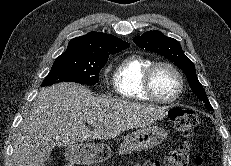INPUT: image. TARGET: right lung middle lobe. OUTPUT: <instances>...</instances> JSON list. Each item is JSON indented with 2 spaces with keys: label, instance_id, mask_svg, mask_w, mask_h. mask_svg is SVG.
Instances as JSON below:
<instances>
[{
  "label": "right lung middle lobe",
  "instance_id": "obj_1",
  "mask_svg": "<svg viewBox=\"0 0 231 166\" xmlns=\"http://www.w3.org/2000/svg\"><path fill=\"white\" fill-rule=\"evenodd\" d=\"M108 58L109 55L93 57L64 52L54 61L51 71L44 79L42 86H49L59 82L95 85L99 80V72Z\"/></svg>",
  "mask_w": 231,
  "mask_h": 166
}]
</instances>
